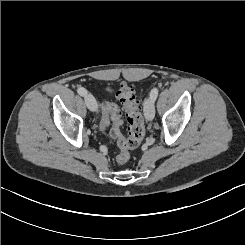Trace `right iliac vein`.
I'll return each mask as SVG.
<instances>
[{
	"label": "right iliac vein",
	"mask_w": 245,
	"mask_h": 245,
	"mask_svg": "<svg viewBox=\"0 0 245 245\" xmlns=\"http://www.w3.org/2000/svg\"><path fill=\"white\" fill-rule=\"evenodd\" d=\"M85 103L89 110L96 111L97 110V102L94 96L91 93L85 95Z\"/></svg>",
	"instance_id": "63e3f726"
}]
</instances>
